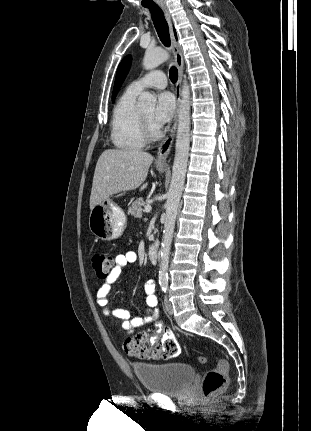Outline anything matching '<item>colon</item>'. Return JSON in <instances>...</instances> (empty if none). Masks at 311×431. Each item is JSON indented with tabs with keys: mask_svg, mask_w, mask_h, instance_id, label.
I'll return each instance as SVG.
<instances>
[{
	"mask_svg": "<svg viewBox=\"0 0 311 431\" xmlns=\"http://www.w3.org/2000/svg\"><path fill=\"white\" fill-rule=\"evenodd\" d=\"M91 265L96 275L101 278H107L113 266V256L106 251H95L92 253ZM126 354L141 359H171L179 356L180 346L174 336L168 335L161 339H151L143 334L128 339L123 345ZM199 362L205 364L206 357H199ZM229 363L223 357L217 358V366L206 372L203 382L202 391L204 396H209L223 389L228 380Z\"/></svg>",
	"mask_w": 311,
	"mask_h": 431,
	"instance_id": "obj_1",
	"label": "colon"
}]
</instances>
